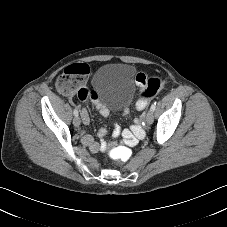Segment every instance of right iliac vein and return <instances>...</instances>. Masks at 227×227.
I'll return each instance as SVG.
<instances>
[{
  "mask_svg": "<svg viewBox=\"0 0 227 227\" xmlns=\"http://www.w3.org/2000/svg\"><path fill=\"white\" fill-rule=\"evenodd\" d=\"M80 123H81V120H80L79 117H75V118L73 119V125H74L75 127H79Z\"/></svg>",
  "mask_w": 227,
  "mask_h": 227,
  "instance_id": "63e3f726",
  "label": "right iliac vein"
}]
</instances>
